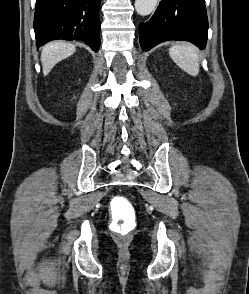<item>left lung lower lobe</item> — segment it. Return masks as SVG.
Here are the masks:
<instances>
[{"instance_id": "1", "label": "left lung lower lobe", "mask_w": 249, "mask_h": 294, "mask_svg": "<svg viewBox=\"0 0 249 294\" xmlns=\"http://www.w3.org/2000/svg\"><path fill=\"white\" fill-rule=\"evenodd\" d=\"M207 32L204 0H162L151 19L139 24L143 51L168 40H187L203 49Z\"/></svg>"}]
</instances>
